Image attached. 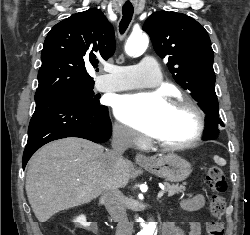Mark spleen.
<instances>
[{
	"instance_id": "1",
	"label": "spleen",
	"mask_w": 250,
	"mask_h": 235,
	"mask_svg": "<svg viewBox=\"0 0 250 235\" xmlns=\"http://www.w3.org/2000/svg\"><path fill=\"white\" fill-rule=\"evenodd\" d=\"M214 161L221 166H224L226 164V161L218 156L214 157Z\"/></svg>"
}]
</instances>
